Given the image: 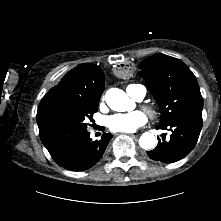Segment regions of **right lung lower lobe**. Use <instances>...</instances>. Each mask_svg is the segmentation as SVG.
<instances>
[{
    "mask_svg": "<svg viewBox=\"0 0 221 221\" xmlns=\"http://www.w3.org/2000/svg\"><path fill=\"white\" fill-rule=\"evenodd\" d=\"M112 137L110 133H103L100 140L92 141L87 132L50 155L63 168L84 171L94 166L102 158Z\"/></svg>",
    "mask_w": 221,
    "mask_h": 221,
    "instance_id": "1",
    "label": "right lung lower lobe"
}]
</instances>
